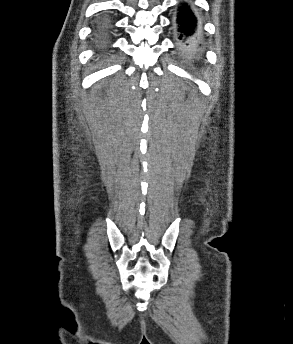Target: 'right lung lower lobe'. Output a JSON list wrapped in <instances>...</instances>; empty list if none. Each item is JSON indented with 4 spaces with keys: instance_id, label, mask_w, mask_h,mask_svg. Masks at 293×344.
<instances>
[{
    "instance_id": "98d812e1",
    "label": "right lung lower lobe",
    "mask_w": 293,
    "mask_h": 344,
    "mask_svg": "<svg viewBox=\"0 0 293 344\" xmlns=\"http://www.w3.org/2000/svg\"><path fill=\"white\" fill-rule=\"evenodd\" d=\"M105 28H106V30H108L109 28H108V26H105Z\"/></svg>"
}]
</instances>
